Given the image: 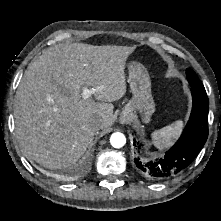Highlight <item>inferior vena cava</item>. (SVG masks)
Instances as JSON below:
<instances>
[{"label":"inferior vena cava","mask_w":221,"mask_h":221,"mask_svg":"<svg viewBox=\"0 0 221 221\" xmlns=\"http://www.w3.org/2000/svg\"><path fill=\"white\" fill-rule=\"evenodd\" d=\"M102 125V119L101 118H94L90 121L89 127L93 131H97L101 128Z\"/></svg>","instance_id":"602c4592"}]
</instances>
